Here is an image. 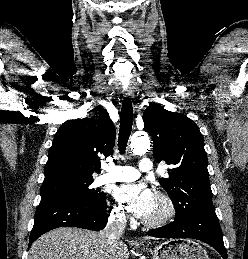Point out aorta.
Wrapping results in <instances>:
<instances>
[{"label": "aorta", "mask_w": 248, "mask_h": 259, "mask_svg": "<svg viewBox=\"0 0 248 259\" xmlns=\"http://www.w3.org/2000/svg\"><path fill=\"white\" fill-rule=\"evenodd\" d=\"M130 147L135 154L145 153L150 148V140L146 135H134Z\"/></svg>", "instance_id": "aorta-1"}]
</instances>
